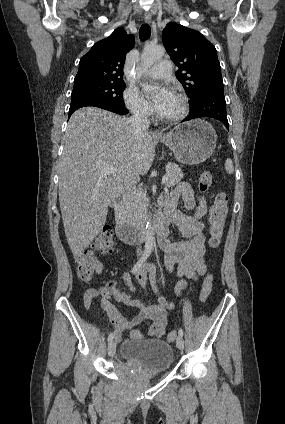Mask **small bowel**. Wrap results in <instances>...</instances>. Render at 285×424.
<instances>
[{"label":"small bowel","mask_w":285,"mask_h":424,"mask_svg":"<svg viewBox=\"0 0 285 424\" xmlns=\"http://www.w3.org/2000/svg\"><path fill=\"white\" fill-rule=\"evenodd\" d=\"M184 200L187 209L196 207L193 216L180 213L177 205L180 199ZM161 205L164 208V216L168 222L178 229L184 240L170 241L166 237L159 238V246L164 251V265L166 270L178 278L175 291L181 295L187 288L188 283L185 280L191 279L198 282L200 277L204 276L207 270L204 261L206 253L205 235L203 233L204 224L202 218L207 213V206L202 196L195 195L188 184H181L176 189L166 194L161 199ZM177 264V266H175ZM149 281L158 297V303L152 304L148 301L132 298L124 292L118 285L117 279L108 282L101 288H88L84 294V305L89 311L95 307V301L98 299L99 306L108 314L111 323L114 326L115 339L121 341L123 333L130 332L133 339H139L141 333L139 328H145L149 336L161 338L166 333L168 326V313L174 305L166 299L161 293L156 283L155 271L152 265ZM135 278L147 295L148 278L144 269L135 273ZM123 281L131 292L135 287L130 281L128 274L122 275ZM114 298L127 306L135 307L139 313L131 320L126 319L120 310L110 301ZM152 319L153 324L148 325L147 319Z\"/></svg>","instance_id":"small-bowel-1"}]
</instances>
